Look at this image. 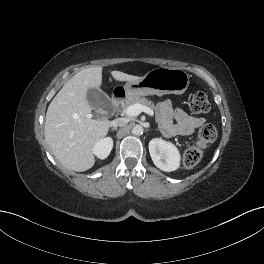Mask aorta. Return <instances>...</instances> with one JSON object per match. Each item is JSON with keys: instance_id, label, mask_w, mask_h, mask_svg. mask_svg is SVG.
Returning <instances> with one entry per match:
<instances>
[{"instance_id": "762f6f07", "label": "aorta", "mask_w": 264, "mask_h": 264, "mask_svg": "<svg viewBox=\"0 0 264 264\" xmlns=\"http://www.w3.org/2000/svg\"><path fill=\"white\" fill-rule=\"evenodd\" d=\"M132 134L136 136H140L143 134V127L141 125H135L132 128Z\"/></svg>"}]
</instances>
